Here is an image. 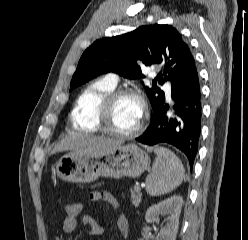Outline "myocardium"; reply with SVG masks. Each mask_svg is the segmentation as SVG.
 Instances as JSON below:
<instances>
[{"instance_id": "myocardium-1", "label": "myocardium", "mask_w": 248, "mask_h": 240, "mask_svg": "<svg viewBox=\"0 0 248 240\" xmlns=\"http://www.w3.org/2000/svg\"><path fill=\"white\" fill-rule=\"evenodd\" d=\"M134 97L141 105V118L138 125L129 132H120L112 129L108 124L109 115L116 102L122 97ZM148 115V108L143 95L136 89L132 88H115L109 92L99 103L95 113V123L97 129L102 133L118 138H132L137 136L143 129L145 119Z\"/></svg>"}]
</instances>
